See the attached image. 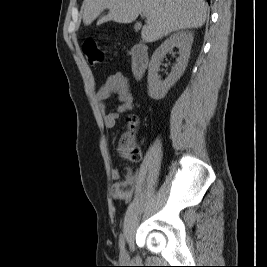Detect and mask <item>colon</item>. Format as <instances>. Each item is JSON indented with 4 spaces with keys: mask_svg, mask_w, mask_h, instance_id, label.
Listing matches in <instances>:
<instances>
[{
    "mask_svg": "<svg viewBox=\"0 0 267 267\" xmlns=\"http://www.w3.org/2000/svg\"><path fill=\"white\" fill-rule=\"evenodd\" d=\"M83 52L86 56L88 63L92 66L101 64L105 60V55L102 49L99 47L96 41L87 40L83 44ZM127 123L130 131L125 132L121 135L116 152L120 159L137 163L142 158V151L136 142L133 131L137 127L138 120L135 116H129Z\"/></svg>",
    "mask_w": 267,
    "mask_h": 267,
    "instance_id": "obj_1",
    "label": "colon"
}]
</instances>
